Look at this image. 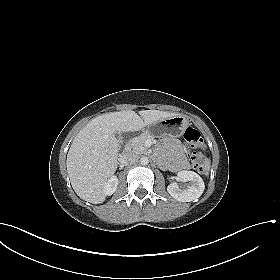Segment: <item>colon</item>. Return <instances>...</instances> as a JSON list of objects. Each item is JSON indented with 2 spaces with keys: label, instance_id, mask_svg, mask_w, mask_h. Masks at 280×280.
<instances>
[{
  "label": "colon",
  "instance_id": "colon-1",
  "mask_svg": "<svg viewBox=\"0 0 280 280\" xmlns=\"http://www.w3.org/2000/svg\"><path fill=\"white\" fill-rule=\"evenodd\" d=\"M184 139L191 147L189 159L192 167L198 172L203 173L206 169V162L203 154L200 152L205 147L201 133L193 127H188L184 132Z\"/></svg>",
  "mask_w": 280,
  "mask_h": 280
}]
</instances>
